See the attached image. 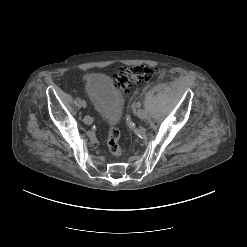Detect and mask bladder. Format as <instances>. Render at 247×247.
Segmentation results:
<instances>
[{
    "mask_svg": "<svg viewBox=\"0 0 247 247\" xmlns=\"http://www.w3.org/2000/svg\"><path fill=\"white\" fill-rule=\"evenodd\" d=\"M86 91L105 124L116 126L123 116L124 97L111 77L102 73L88 75Z\"/></svg>",
    "mask_w": 247,
    "mask_h": 247,
    "instance_id": "31cf9c89",
    "label": "bladder"
}]
</instances>
